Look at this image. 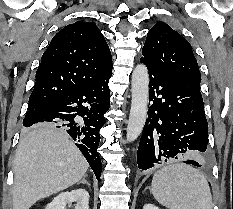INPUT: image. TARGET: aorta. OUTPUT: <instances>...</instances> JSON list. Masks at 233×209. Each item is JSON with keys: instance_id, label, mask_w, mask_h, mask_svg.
<instances>
[{"instance_id": "1", "label": "aorta", "mask_w": 233, "mask_h": 209, "mask_svg": "<svg viewBox=\"0 0 233 209\" xmlns=\"http://www.w3.org/2000/svg\"><path fill=\"white\" fill-rule=\"evenodd\" d=\"M131 92V109L126 129L128 142H133L138 138L147 118L149 74L144 64H138L132 73Z\"/></svg>"}]
</instances>
